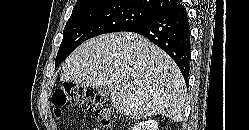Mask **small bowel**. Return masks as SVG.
I'll use <instances>...</instances> for the list:
<instances>
[{"mask_svg": "<svg viewBox=\"0 0 249 130\" xmlns=\"http://www.w3.org/2000/svg\"><path fill=\"white\" fill-rule=\"evenodd\" d=\"M92 130H99L98 128H93Z\"/></svg>", "mask_w": 249, "mask_h": 130, "instance_id": "small-bowel-1", "label": "small bowel"}]
</instances>
